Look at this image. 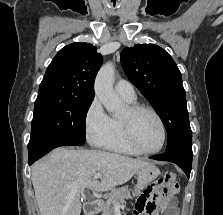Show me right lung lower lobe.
Wrapping results in <instances>:
<instances>
[{"label":"right lung lower lobe","mask_w":223,"mask_h":215,"mask_svg":"<svg viewBox=\"0 0 223 215\" xmlns=\"http://www.w3.org/2000/svg\"><path fill=\"white\" fill-rule=\"evenodd\" d=\"M83 141H77V140H72V141H61V142H55V143H50L47 145H43L40 147H36L34 149L28 150L29 152V159H28V164L31 165L41 157H43L46 153L51 151L54 148L60 147V146H74V145H83Z\"/></svg>","instance_id":"right-lung-lower-lobe-1"}]
</instances>
